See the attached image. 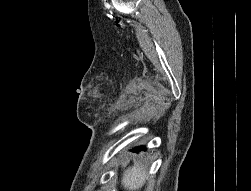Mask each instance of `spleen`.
<instances>
[{
    "mask_svg": "<svg viewBox=\"0 0 251 191\" xmlns=\"http://www.w3.org/2000/svg\"><path fill=\"white\" fill-rule=\"evenodd\" d=\"M146 177L145 167L137 163V165H132V167L125 169L121 181L126 189L132 191V189H139V187H142Z\"/></svg>",
    "mask_w": 251,
    "mask_h": 191,
    "instance_id": "obj_1",
    "label": "spleen"
}]
</instances>
